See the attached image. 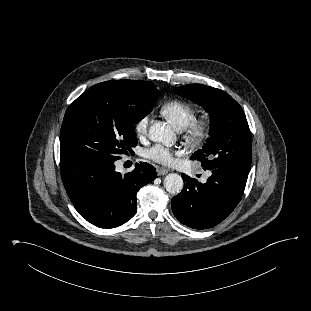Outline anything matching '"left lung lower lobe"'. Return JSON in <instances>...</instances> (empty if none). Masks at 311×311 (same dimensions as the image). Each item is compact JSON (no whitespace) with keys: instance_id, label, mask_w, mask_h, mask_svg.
Masks as SVG:
<instances>
[{"instance_id":"1","label":"left lung lower lobe","mask_w":311,"mask_h":311,"mask_svg":"<svg viewBox=\"0 0 311 311\" xmlns=\"http://www.w3.org/2000/svg\"><path fill=\"white\" fill-rule=\"evenodd\" d=\"M205 170L211 172L205 183L183 174V190L171 202L175 217L195 229L212 228L223 221L240 202L248 178V172L234 169Z\"/></svg>"}]
</instances>
